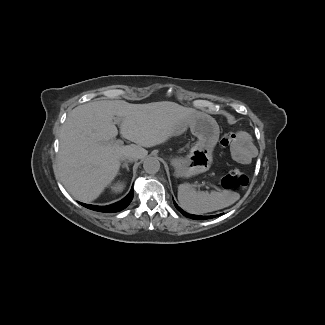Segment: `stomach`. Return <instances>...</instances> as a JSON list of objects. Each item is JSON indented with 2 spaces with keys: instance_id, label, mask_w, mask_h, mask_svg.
<instances>
[{
  "instance_id": "1",
  "label": "stomach",
  "mask_w": 325,
  "mask_h": 325,
  "mask_svg": "<svg viewBox=\"0 0 325 325\" xmlns=\"http://www.w3.org/2000/svg\"><path fill=\"white\" fill-rule=\"evenodd\" d=\"M188 126L201 144L194 147L186 158L172 160L176 175L184 177L207 171L210 168L212 155L205 145H212L219 137V127L216 121L209 115L200 112L192 113L179 120L173 129L169 130V137L177 138L178 134Z\"/></svg>"
}]
</instances>
